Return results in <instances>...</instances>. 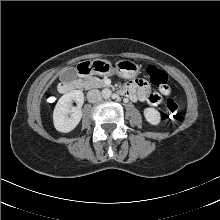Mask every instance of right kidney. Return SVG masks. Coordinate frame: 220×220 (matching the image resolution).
Returning <instances> with one entry per match:
<instances>
[{
	"mask_svg": "<svg viewBox=\"0 0 220 220\" xmlns=\"http://www.w3.org/2000/svg\"><path fill=\"white\" fill-rule=\"evenodd\" d=\"M73 101L77 103V107L71 106ZM83 103L84 94L81 90L70 91L58 100L53 112V122L57 131L68 133L79 124Z\"/></svg>",
	"mask_w": 220,
	"mask_h": 220,
	"instance_id": "ca27d5eb",
	"label": "right kidney"
}]
</instances>
